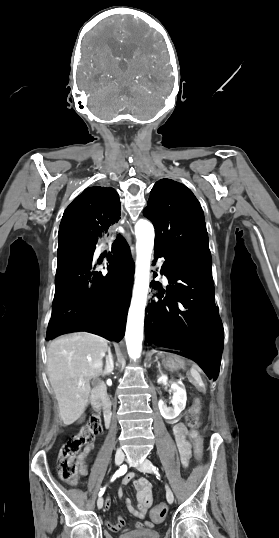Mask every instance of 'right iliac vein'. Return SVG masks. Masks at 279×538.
<instances>
[{"instance_id":"right-iliac-vein-1","label":"right iliac vein","mask_w":279,"mask_h":538,"mask_svg":"<svg viewBox=\"0 0 279 538\" xmlns=\"http://www.w3.org/2000/svg\"><path fill=\"white\" fill-rule=\"evenodd\" d=\"M124 461V454L122 452H117L115 455V464L120 465ZM97 507L101 509L103 507V498L99 497L97 500Z\"/></svg>"}]
</instances>
